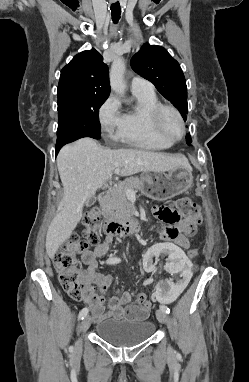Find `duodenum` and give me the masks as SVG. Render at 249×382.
Returning <instances> with one entry per match:
<instances>
[{"mask_svg": "<svg viewBox=\"0 0 249 382\" xmlns=\"http://www.w3.org/2000/svg\"><path fill=\"white\" fill-rule=\"evenodd\" d=\"M107 199L108 194L106 191L99 194V202L102 208L106 206ZM140 228L141 224L136 218L110 219L106 225V233L113 236L127 237L137 234Z\"/></svg>", "mask_w": 249, "mask_h": 382, "instance_id": "410a0bca", "label": "duodenum"}]
</instances>
